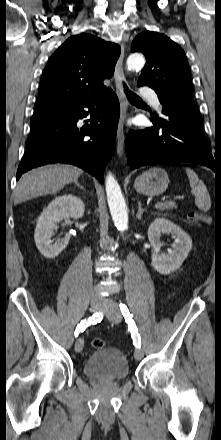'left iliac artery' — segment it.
I'll use <instances>...</instances> for the list:
<instances>
[{"instance_id": "1", "label": "left iliac artery", "mask_w": 221, "mask_h": 440, "mask_svg": "<svg viewBox=\"0 0 221 440\" xmlns=\"http://www.w3.org/2000/svg\"><path fill=\"white\" fill-rule=\"evenodd\" d=\"M119 306H120V310L125 318V321L129 325L128 329L131 332L133 343L136 347L140 348L141 347V338H140V335L138 334V329L135 325V322L132 319V315L130 314V312L125 304L120 303Z\"/></svg>"}]
</instances>
